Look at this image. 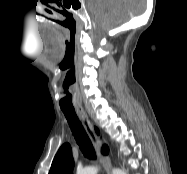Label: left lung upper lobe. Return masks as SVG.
Listing matches in <instances>:
<instances>
[{
	"instance_id": "1",
	"label": "left lung upper lobe",
	"mask_w": 187,
	"mask_h": 174,
	"mask_svg": "<svg viewBox=\"0 0 187 174\" xmlns=\"http://www.w3.org/2000/svg\"><path fill=\"white\" fill-rule=\"evenodd\" d=\"M74 161L72 157L71 147L69 144H64L57 152L49 174H72Z\"/></svg>"
}]
</instances>
